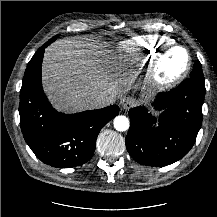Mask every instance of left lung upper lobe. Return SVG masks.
I'll return each instance as SVG.
<instances>
[{
    "mask_svg": "<svg viewBox=\"0 0 217 217\" xmlns=\"http://www.w3.org/2000/svg\"><path fill=\"white\" fill-rule=\"evenodd\" d=\"M190 78L196 81L199 86L205 87V79L202 72V66L198 60L194 64L193 70L190 74Z\"/></svg>",
    "mask_w": 217,
    "mask_h": 217,
    "instance_id": "1",
    "label": "left lung upper lobe"
}]
</instances>
